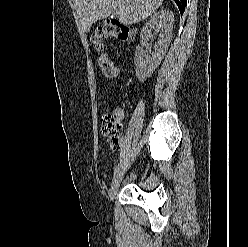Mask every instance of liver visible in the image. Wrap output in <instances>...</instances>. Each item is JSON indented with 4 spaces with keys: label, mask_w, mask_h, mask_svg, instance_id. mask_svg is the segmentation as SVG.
<instances>
[{
    "label": "liver",
    "mask_w": 248,
    "mask_h": 247,
    "mask_svg": "<svg viewBox=\"0 0 248 247\" xmlns=\"http://www.w3.org/2000/svg\"><path fill=\"white\" fill-rule=\"evenodd\" d=\"M164 0H74L83 28L90 31L93 23L111 13L125 25L137 23L154 13Z\"/></svg>",
    "instance_id": "obj_1"
}]
</instances>
